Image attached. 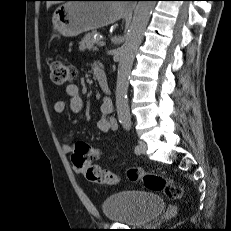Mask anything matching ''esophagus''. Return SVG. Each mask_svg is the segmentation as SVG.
Wrapping results in <instances>:
<instances>
[{
	"instance_id": "1",
	"label": "esophagus",
	"mask_w": 231,
	"mask_h": 231,
	"mask_svg": "<svg viewBox=\"0 0 231 231\" xmlns=\"http://www.w3.org/2000/svg\"><path fill=\"white\" fill-rule=\"evenodd\" d=\"M123 9H128V10H132L134 8L133 5H128V4H125L122 6Z\"/></svg>"
}]
</instances>
